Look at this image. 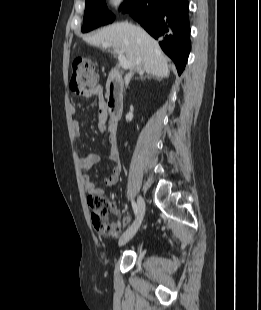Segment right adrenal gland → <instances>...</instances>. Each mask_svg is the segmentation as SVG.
<instances>
[{
  "label": "right adrenal gland",
  "instance_id": "right-adrenal-gland-1",
  "mask_svg": "<svg viewBox=\"0 0 261 310\" xmlns=\"http://www.w3.org/2000/svg\"><path fill=\"white\" fill-rule=\"evenodd\" d=\"M139 75H140V78H141V79H144V78H146V77H147V78L152 77L150 74L143 75V72H142V71L139 72Z\"/></svg>",
  "mask_w": 261,
  "mask_h": 310
}]
</instances>
